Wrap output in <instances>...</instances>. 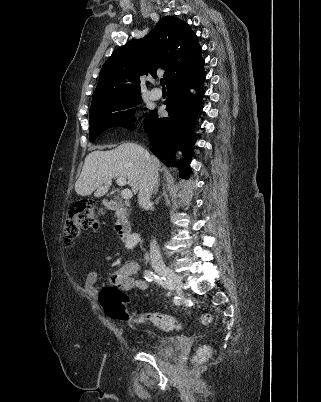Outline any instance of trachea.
Returning a JSON list of instances; mask_svg holds the SVG:
<instances>
[{
	"label": "trachea",
	"instance_id": "trachea-1",
	"mask_svg": "<svg viewBox=\"0 0 321 402\" xmlns=\"http://www.w3.org/2000/svg\"><path fill=\"white\" fill-rule=\"evenodd\" d=\"M160 84H161L162 88H165L164 79H160Z\"/></svg>",
	"mask_w": 321,
	"mask_h": 402
}]
</instances>
